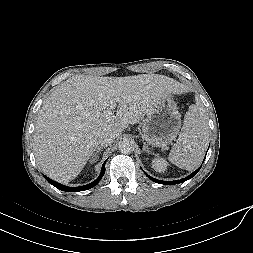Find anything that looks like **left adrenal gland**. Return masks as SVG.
<instances>
[{"label": "left adrenal gland", "instance_id": "1", "mask_svg": "<svg viewBox=\"0 0 253 253\" xmlns=\"http://www.w3.org/2000/svg\"><path fill=\"white\" fill-rule=\"evenodd\" d=\"M143 150H145L146 152H149V148L145 144L143 146Z\"/></svg>", "mask_w": 253, "mask_h": 253}]
</instances>
